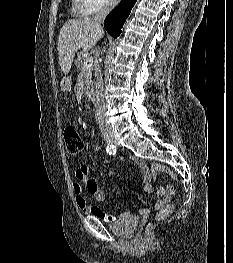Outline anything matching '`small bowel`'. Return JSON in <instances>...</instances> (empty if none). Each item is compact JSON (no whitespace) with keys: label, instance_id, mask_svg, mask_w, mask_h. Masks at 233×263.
<instances>
[{"label":"small bowel","instance_id":"1","mask_svg":"<svg viewBox=\"0 0 233 263\" xmlns=\"http://www.w3.org/2000/svg\"><path fill=\"white\" fill-rule=\"evenodd\" d=\"M138 165L142 171L144 178V191L149 192L151 190L150 181H151V172L150 169L142 162H138ZM76 178L78 181L73 182L72 189L75 195V200L78 207L85 213L92 214L105 222L111 223L118 220L120 217L118 215L110 214L104 209L97 206H91L88 204L81 183H84L89 194L98 202L105 200V193L99 188L97 182L94 178L90 176L89 167L87 165H80L76 170ZM81 182V183H80ZM175 188L172 184L160 187L157 189V193L160 196L154 204L155 210H160L164 206L168 205L171 201V196L174 194ZM141 214L146 216L149 214L148 209H143Z\"/></svg>","mask_w":233,"mask_h":263}]
</instances>
